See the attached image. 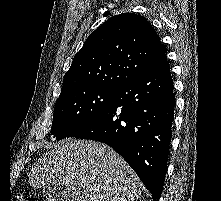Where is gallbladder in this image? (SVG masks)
<instances>
[{"instance_id":"bac80fb5","label":"gallbladder","mask_w":221,"mask_h":201,"mask_svg":"<svg viewBox=\"0 0 221 201\" xmlns=\"http://www.w3.org/2000/svg\"><path fill=\"white\" fill-rule=\"evenodd\" d=\"M42 193L47 201H64L69 200L70 197L67 188L59 184H50L43 187Z\"/></svg>"}]
</instances>
